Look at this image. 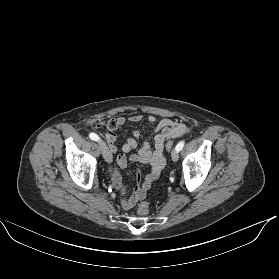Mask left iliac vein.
Segmentation results:
<instances>
[{
  "label": "left iliac vein",
  "instance_id": "4c4485c4",
  "mask_svg": "<svg viewBox=\"0 0 279 279\" xmlns=\"http://www.w3.org/2000/svg\"><path fill=\"white\" fill-rule=\"evenodd\" d=\"M171 158L174 162L178 161L179 159V153L176 149H174L172 152H171Z\"/></svg>",
  "mask_w": 279,
  "mask_h": 279
}]
</instances>
